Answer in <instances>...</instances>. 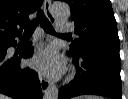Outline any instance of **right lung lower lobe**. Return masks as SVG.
<instances>
[{
	"instance_id": "right-lung-lower-lobe-1",
	"label": "right lung lower lobe",
	"mask_w": 128,
	"mask_h": 99,
	"mask_svg": "<svg viewBox=\"0 0 128 99\" xmlns=\"http://www.w3.org/2000/svg\"><path fill=\"white\" fill-rule=\"evenodd\" d=\"M18 35V37H20ZM16 46L14 37L0 42V93L14 99H41L42 90L38 74L29 68H21V58H30L33 48L29 43L19 55L9 56L7 49Z\"/></svg>"
}]
</instances>
